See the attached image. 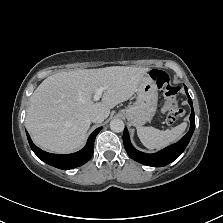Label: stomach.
I'll return each instance as SVG.
<instances>
[{
  "mask_svg": "<svg viewBox=\"0 0 223 223\" xmlns=\"http://www.w3.org/2000/svg\"><path fill=\"white\" fill-rule=\"evenodd\" d=\"M136 93V101L122 110V113L133 126L141 127L152 119L157 108L158 88L152 71L141 78Z\"/></svg>",
  "mask_w": 223,
  "mask_h": 223,
  "instance_id": "1",
  "label": "stomach"
}]
</instances>
